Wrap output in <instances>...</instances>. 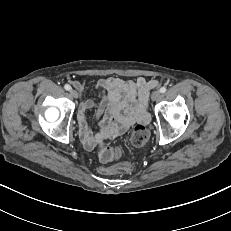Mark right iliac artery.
<instances>
[{
    "label": "right iliac artery",
    "mask_w": 231,
    "mask_h": 231,
    "mask_svg": "<svg viewBox=\"0 0 231 231\" xmlns=\"http://www.w3.org/2000/svg\"><path fill=\"white\" fill-rule=\"evenodd\" d=\"M65 90L70 91L71 90V86L69 84H65L64 86Z\"/></svg>",
    "instance_id": "right-iliac-artery-1"
}]
</instances>
